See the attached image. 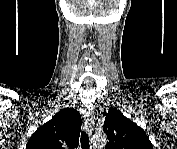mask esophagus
<instances>
[{"mask_svg":"<svg viewBox=\"0 0 177 149\" xmlns=\"http://www.w3.org/2000/svg\"><path fill=\"white\" fill-rule=\"evenodd\" d=\"M94 122V114L91 110H87L84 115V127L89 130Z\"/></svg>","mask_w":177,"mask_h":149,"instance_id":"esophagus-1","label":"esophagus"}]
</instances>
